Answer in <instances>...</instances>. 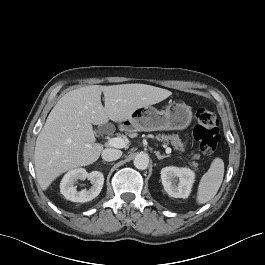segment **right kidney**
<instances>
[{"label":"right kidney","mask_w":265,"mask_h":265,"mask_svg":"<svg viewBox=\"0 0 265 265\" xmlns=\"http://www.w3.org/2000/svg\"><path fill=\"white\" fill-rule=\"evenodd\" d=\"M88 179L92 186L90 189H83L77 191L74 184L77 180ZM104 184V175L99 171H92L88 173L84 168H78L66 173L60 183V192L67 199L72 202H87L91 201L99 195Z\"/></svg>","instance_id":"obj_1"}]
</instances>
